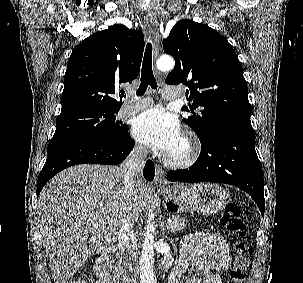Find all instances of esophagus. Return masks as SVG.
<instances>
[{
	"instance_id": "34e87169",
	"label": "esophagus",
	"mask_w": 303,
	"mask_h": 283,
	"mask_svg": "<svg viewBox=\"0 0 303 283\" xmlns=\"http://www.w3.org/2000/svg\"><path fill=\"white\" fill-rule=\"evenodd\" d=\"M151 40L153 44V55L155 58H157L159 54V32H158V21L156 17L148 16L146 19ZM154 182L156 185H162L165 184V176H164V170L159 165H156L155 167V178Z\"/></svg>"
}]
</instances>
